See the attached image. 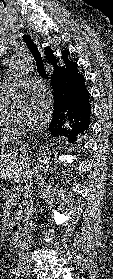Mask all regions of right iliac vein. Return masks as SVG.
I'll use <instances>...</instances> for the list:
<instances>
[{"label":"right iliac vein","instance_id":"1","mask_svg":"<svg viewBox=\"0 0 113 279\" xmlns=\"http://www.w3.org/2000/svg\"><path fill=\"white\" fill-rule=\"evenodd\" d=\"M21 271L25 272V273H29L30 272V268L27 266H23L21 267Z\"/></svg>","mask_w":113,"mask_h":279}]
</instances>
